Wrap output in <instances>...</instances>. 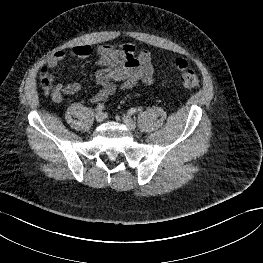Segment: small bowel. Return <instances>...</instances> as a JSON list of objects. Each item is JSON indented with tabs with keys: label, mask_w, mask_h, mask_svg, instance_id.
Returning <instances> with one entry per match:
<instances>
[{
	"label": "small bowel",
	"mask_w": 263,
	"mask_h": 263,
	"mask_svg": "<svg viewBox=\"0 0 263 263\" xmlns=\"http://www.w3.org/2000/svg\"><path fill=\"white\" fill-rule=\"evenodd\" d=\"M92 52L98 55L96 81L101 86L91 98L92 102H103L117 90H130L139 83L150 85L154 81V66L151 54L147 50H138L134 44L126 43L118 46L96 45L91 47L80 44L68 52L57 51L47 61L49 68H55L68 57L82 60ZM51 83L52 73L48 74ZM81 89L78 82L54 83L52 100L61 103L65 96L77 94Z\"/></svg>",
	"instance_id": "1"
}]
</instances>
